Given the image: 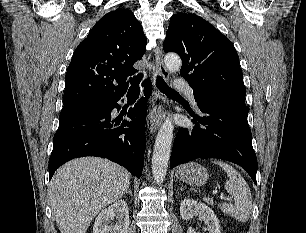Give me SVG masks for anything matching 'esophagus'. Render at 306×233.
Returning <instances> with one entry per match:
<instances>
[{"label":"esophagus","mask_w":306,"mask_h":233,"mask_svg":"<svg viewBox=\"0 0 306 233\" xmlns=\"http://www.w3.org/2000/svg\"><path fill=\"white\" fill-rule=\"evenodd\" d=\"M155 61H156V73L162 76L164 79H168L169 72L164 65L162 51L160 47H156L155 49ZM164 101H165L164 95L160 93L158 89L155 87L152 97V109L149 113V118L147 122V126L150 133H155L161 124L162 120L161 113L163 109L162 103Z\"/></svg>","instance_id":"esophagus-1"}]
</instances>
